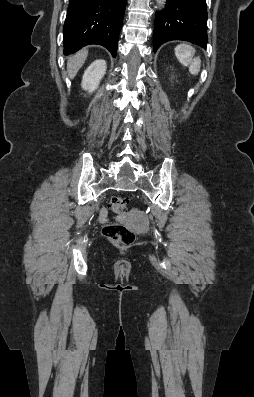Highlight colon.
Returning <instances> with one entry per match:
<instances>
[{"label": "colon", "instance_id": "5ec220e1", "mask_svg": "<svg viewBox=\"0 0 254 397\" xmlns=\"http://www.w3.org/2000/svg\"><path fill=\"white\" fill-rule=\"evenodd\" d=\"M110 208L115 213H123L127 209V200L115 196L110 200ZM104 236L117 245L128 246L135 241V234L122 224H109L103 228Z\"/></svg>", "mask_w": 254, "mask_h": 397}]
</instances>
